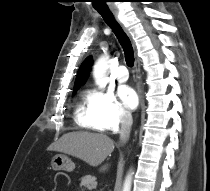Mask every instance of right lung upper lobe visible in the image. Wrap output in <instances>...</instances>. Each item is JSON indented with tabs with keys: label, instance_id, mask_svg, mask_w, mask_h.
<instances>
[{
	"label": "right lung upper lobe",
	"instance_id": "obj_1",
	"mask_svg": "<svg viewBox=\"0 0 210 191\" xmlns=\"http://www.w3.org/2000/svg\"><path fill=\"white\" fill-rule=\"evenodd\" d=\"M92 63H93L92 57H88L81 64L76 76L74 90H77L84 83V81L88 76Z\"/></svg>",
	"mask_w": 210,
	"mask_h": 191
}]
</instances>
